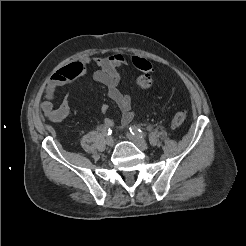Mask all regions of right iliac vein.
<instances>
[{"label":"right iliac vein","mask_w":246,"mask_h":246,"mask_svg":"<svg viewBox=\"0 0 246 246\" xmlns=\"http://www.w3.org/2000/svg\"><path fill=\"white\" fill-rule=\"evenodd\" d=\"M114 143H115V140H114L113 137H111V136L107 137V139H106V144H107L108 146L112 147V146L114 145Z\"/></svg>","instance_id":"63e3f726"}]
</instances>
